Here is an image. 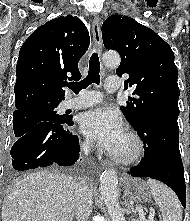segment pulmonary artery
Segmentation results:
<instances>
[{
    "instance_id": "pulmonary-artery-1",
    "label": "pulmonary artery",
    "mask_w": 190,
    "mask_h": 221,
    "mask_svg": "<svg viewBox=\"0 0 190 221\" xmlns=\"http://www.w3.org/2000/svg\"><path fill=\"white\" fill-rule=\"evenodd\" d=\"M120 88L119 79L116 77H108L105 81V89L108 92H115ZM102 96L97 91H82L78 97L67 99L64 102L66 109H83L101 102Z\"/></svg>"
}]
</instances>
